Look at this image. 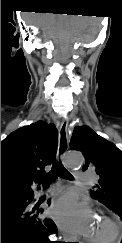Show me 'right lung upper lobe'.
<instances>
[{
	"label": "right lung upper lobe",
	"instance_id": "right-lung-upper-lobe-1",
	"mask_svg": "<svg viewBox=\"0 0 122 243\" xmlns=\"http://www.w3.org/2000/svg\"><path fill=\"white\" fill-rule=\"evenodd\" d=\"M57 136L54 124L38 121L1 142V200L33 192V180L55 157Z\"/></svg>",
	"mask_w": 122,
	"mask_h": 243
}]
</instances>
